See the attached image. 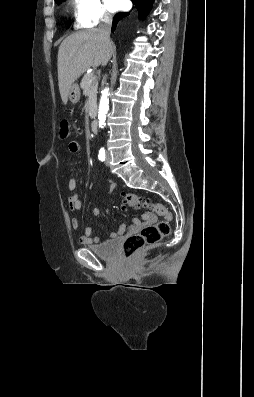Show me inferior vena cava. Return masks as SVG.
<instances>
[{
    "instance_id": "602c4592",
    "label": "inferior vena cava",
    "mask_w": 254,
    "mask_h": 397,
    "mask_svg": "<svg viewBox=\"0 0 254 397\" xmlns=\"http://www.w3.org/2000/svg\"><path fill=\"white\" fill-rule=\"evenodd\" d=\"M112 19L108 14H105L98 28L99 34L106 44H110V31Z\"/></svg>"
}]
</instances>
